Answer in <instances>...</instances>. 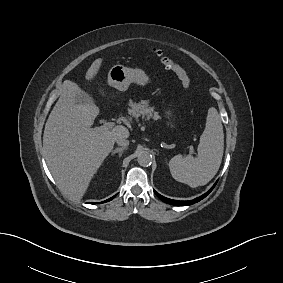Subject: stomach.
<instances>
[{
	"label": "stomach",
	"instance_id": "stomach-1",
	"mask_svg": "<svg viewBox=\"0 0 283 283\" xmlns=\"http://www.w3.org/2000/svg\"><path fill=\"white\" fill-rule=\"evenodd\" d=\"M135 82L140 85H145L150 82L149 76L142 69H130L123 65H114L108 73V85L120 90L125 91L129 85ZM168 118V125L173 128V116L170 110L165 111Z\"/></svg>",
	"mask_w": 283,
	"mask_h": 283
}]
</instances>
